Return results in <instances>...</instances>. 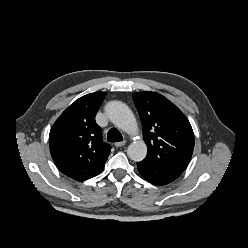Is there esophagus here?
I'll list each match as a JSON object with an SVG mask.
<instances>
[{
    "label": "esophagus",
    "mask_w": 248,
    "mask_h": 248,
    "mask_svg": "<svg viewBox=\"0 0 248 248\" xmlns=\"http://www.w3.org/2000/svg\"><path fill=\"white\" fill-rule=\"evenodd\" d=\"M126 144V141H121V142H116L115 143V146L116 147H122V146H124Z\"/></svg>",
    "instance_id": "34e87169"
}]
</instances>
